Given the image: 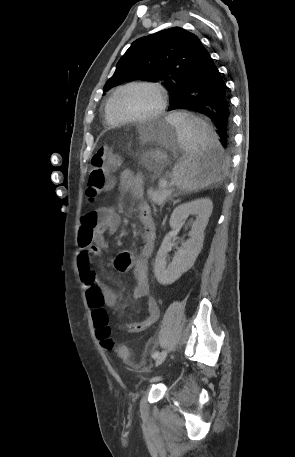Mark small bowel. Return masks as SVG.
I'll return each instance as SVG.
<instances>
[{"mask_svg": "<svg viewBox=\"0 0 295 457\" xmlns=\"http://www.w3.org/2000/svg\"><path fill=\"white\" fill-rule=\"evenodd\" d=\"M119 188L128 192L139 203L136 212L143 226V240L138 253L124 250L113 259V266L119 272L133 271L135 288L133 300L138 301L144 296H149L148 258L151 255L156 228L150 206L142 200V179L130 170H124L119 176ZM121 224L119 213L113 207H101L90 211L81 217V227L78 233L79 253L77 255V268L80 279L86 288L88 303L91 308L92 301H100L111 308H115L119 295L110 287L100 282L96 272L92 269L93 261L101 251L108 247L105 234H114ZM160 309L153 296L148 297L147 315L137 322H130L125 328L130 333H140L151 327L159 318Z\"/></svg>", "mask_w": 295, "mask_h": 457, "instance_id": "obj_1", "label": "small bowel"}]
</instances>
